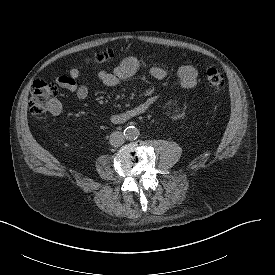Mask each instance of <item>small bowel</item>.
I'll list each match as a JSON object with an SVG mask.
<instances>
[{
  "instance_id": "c3829d8e",
  "label": "small bowel",
  "mask_w": 275,
  "mask_h": 275,
  "mask_svg": "<svg viewBox=\"0 0 275 275\" xmlns=\"http://www.w3.org/2000/svg\"><path fill=\"white\" fill-rule=\"evenodd\" d=\"M140 67V59L135 56H129L124 58L112 70L100 71L98 74V80L100 84L105 87H114L122 79L134 76ZM149 72L151 76L157 81H164L168 76L167 71L158 65L151 66ZM177 75L183 88L191 89L197 85L198 71L194 66L188 64L180 66L177 71ZM80 80V70L76 67H73L67 74H62L57 77L55 82L59 87L73 93L77 99L84 100L89 95V87ZM157 98L158 97L155 94L148 95L130 109L114 114L112 116V121L115 123H122L144 114L150 109L152 105L155 104ZM51 111L53 114H58L60 112V107L55 106Z\"/></svg>"
}]
</instances>
